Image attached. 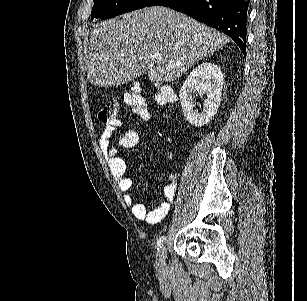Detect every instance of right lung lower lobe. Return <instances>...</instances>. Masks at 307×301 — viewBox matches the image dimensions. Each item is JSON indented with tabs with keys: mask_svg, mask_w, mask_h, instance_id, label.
<instances>
[{
	"mask_svg": "<svg viewBox=\"0 0 307 301\" xmlns=\"http://www.w3.org/2000/svg\"><path fill=\"white\" fill-rule=\"evenodd\" d=\"M249 4L250 0H151L146 6L170 7L222 31L246 55Z\"/></svg>",
	"mask_w": 307,
	"mask_h": 301,
	"instance_id": "1",
	"label": "right lung lower lobe"
}]
</instances>
